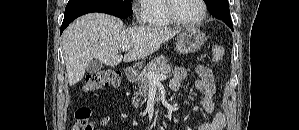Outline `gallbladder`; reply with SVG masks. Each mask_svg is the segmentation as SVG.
I'll return each instance as SVG.
<instances>
[{
    "label": "gallbladder",
    "instance_id": "1",
    "mask_svg": "<svg viewBox=\"0 0 299 130\" xmlns=\"http://www.w3.org/2000/svg\"><path fill=\"white\" fill-rule=\"evenodd\" d=\"M103 63L97 59H92L91 62L88 64L86 71L89 74H93L101 70Z\"/></svg>",
    "mask_w": 299,
    "mask_h": 130
}]
</instances>
